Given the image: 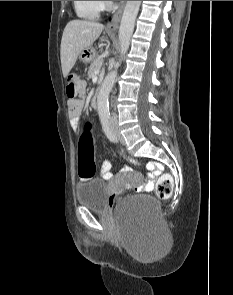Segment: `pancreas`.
<instances>
[{
    "label": "pancreas",
    "instance_id": "1",
    "mask_svg": "<svg viewBox=\"0 0 233 295\" xmlns=\"http://www.w3.org/2000/svg\"><path fill=\"white\" fill-rule=\"evenodd\" d=\"M102 65V61L98 58H96L95 60H93V62L91 63L90 67H89V71H88V77L89 78H93L96 76L95 71L97 69H100Z\"/></svg>",
    "mask_w": 233,
    "mask_h": 295
}]
</instances>
